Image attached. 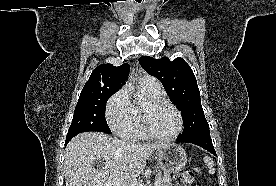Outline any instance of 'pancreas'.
Wrapping results in <instances>:
<instances>
[{
	"label": "pancreas",
	"mask_w": 276,
	"mask_h": 186,
	"mask_svg": "<svg viewBox=\"0 0 276 186\" xmlns=\"http://www.w3.org/2000/svg\"><path fill=\"white\" fill-rule=\"evenodd\" d=\"M156 180L158 181V186H170L171 176L168 172H159L156 176Z\"/></svg>",
	"instance_id": "obj_1"
}]
</instances>
